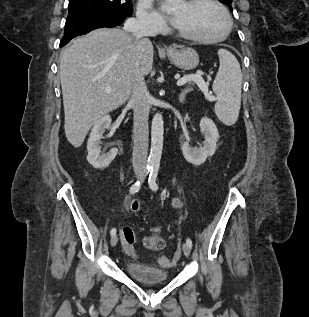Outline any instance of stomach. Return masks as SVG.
<instances>
[{
	"label": "stomach",
	"instance_id": "0dacf381",
	"mask_svg": "<svg viewBox=\"0 0 309 317\" xmlns=\"http://www.w3.org/2000/svg\"><path fill=\"white\" fill-rule=\"evenodd\" d=\"M169 60L178 68L191 70L198 66L199 55L190 47H172L167 50Z\"/></svg>",
	"mask_w": 309,
	"mask_h": 317
}]
</instances>
